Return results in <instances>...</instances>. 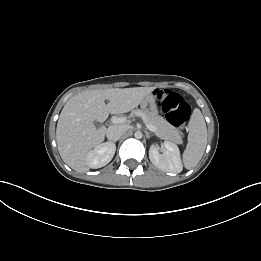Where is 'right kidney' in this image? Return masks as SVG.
Returning a JSON list of instances; mask_svg holds the SVG:
<instances>
[{
    "label": "right kidney",
    "mask_w": 261,
    "mask_h": 261,
    "mask_svg": "<svg viewBox=\"0 0 261 261\" xmlns=\"http://www.w3.org/2000/svg\"><path fill=\"white\" fill-rule=\"evenodd\" d=\"M116 146L113 142L99 144L90 151L86 158L89 168L98 169L107 165L113 158Z\"/></svg>",
    "instance_id": "ca27d5eb"
}]
</instances>
